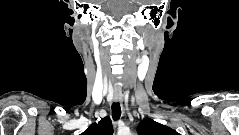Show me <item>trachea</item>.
Instances as JSON below:
<instances>
[{
	"mask_svg": "<svg viewBox=\"0 0 239 135\" xmlns=\"http://www.w3.org/2000/svg\"><path fill=\"white\" fill-rule=\"evenodd\" d=\"M121 116V107L119 102H114L112 104V117L115 121H117Z\"/></svg>",
	"mask_w": 239,
	"mask_h": 135,
	"instance_id": "3493384b",
	"label": "trachea"
}]
</instances>
